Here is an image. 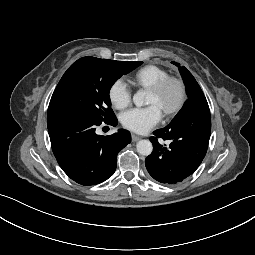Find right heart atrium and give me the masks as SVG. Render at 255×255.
Instances as JSON below:
<instances>
[{"label":"right heart atrium","mask_w":255,"mask_h":255,"mask_svg":"<svg viewBox=\"0 0 255 255\" xmlns=\"http://www.w3.org/2000/svg\"><path fill=\"white\" fill-rule=\"evenodd\" d=\"M108 97L115 108L123 109L131 102V89L123 79H117L111 84Z\"/></svg>","instance_id":"d8ad5b80"}]
</instances>
